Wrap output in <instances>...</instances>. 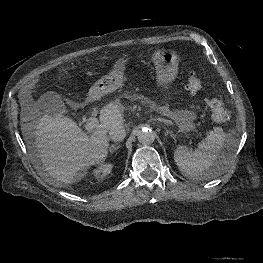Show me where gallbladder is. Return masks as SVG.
<instances>
[{"label": "gallbladder", "mask_w": 263, "mask_h": 263, "mask_svg": "<svg viewBox=\"0 0 263 263\" xmlns=\"http://www.w3.org/2000/svg\"><path fill=\"white\" fill-rule=\"evenodd\" d=\"M38 106L42 113L52 117H63L67 112L61 96L55 92H46L40 96Z\"/></svg>", "instance_id": "bac80fb5"}]
</instances>
